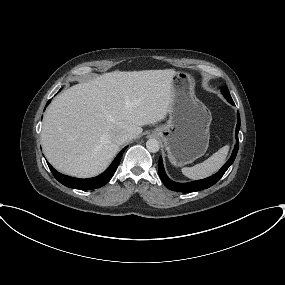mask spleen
<instances>
[{
    "instance_id": "obj_1",
    "label": "spleen",
    "mask_w": 285,
    "mask_h": 285,
    "mask_svg": "<svg viewBox=\"0 0 285 285\" xmlns=\"http://www.w3.org/2000/svg\"><path fill=\"white\" fill-rule=\"evenodd\" d=\"M228 151L229 145H225L204 162L193 167L182 168V173L190 179L206 178L217 172L222 167L226 160Z\"/></svg>"
}]
</instances>
